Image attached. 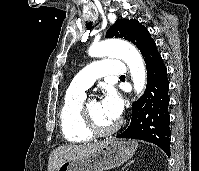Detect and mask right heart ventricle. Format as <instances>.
I'll list each match as a JSON object with an SVG mask.
<instances>
[{
	"label": "right heart ventricle",
	"instance_id": "e07e8e85",
	"mask_svg": "<svg viewBox=\"0 0 199 171\" xmlns=\"http://www.w3.org/2000/svg\"><path fill=\"white\" fill-rule=\"evenodd\" d=\"M85 92L67 89L59 111V123L63 137L72 143H82L92 139L93 134L86 126L83 112Z\"/></svg>",
	"mask_w": 199,
	"mask_h": 171
}]
</instances>
